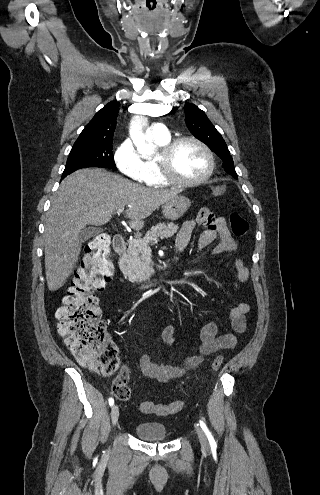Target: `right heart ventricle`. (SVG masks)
<instances>
[{"mask_svg":"<svg viewBox=\"0 0 320 495\" xmlns=\"http://www.w3.org/2000/svg\"><path fill=\"white\" fill-rule=\"evenodd\" d=\"M152 140L160 147L165 145L170 141V138L168 139H158V138H152ZM144 166L147 171L148 179H147V184L153 187H164L169 184L159 173L156 160L155 158H150L146 159L144 161Z\"/></svg>","mask_w":320,"mask_h":495,"instance_id":"1","label":"right heart ventricle"}]
</instances>
